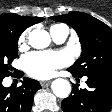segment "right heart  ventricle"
Instances as JSON below:
<instances>
[{
    "label": "right heart ventricle",
    "mask_w": 112,
    "mask_h": 112,
    "mask_svg": "<svg viewBox=\"0 0 112 112\" xmlns=\"http://www.w3.org/2000/svg\"><path fill=\"white\" fill-rule=\"evenodd\" d=\"M65 25H62V24H58V25H52L50 27V33H54L56 32L57 30L61 29L62 27H64Z\"/></svg>",
    "instance_id": "obj_1"
}]
</instances>
